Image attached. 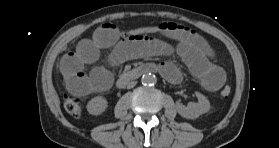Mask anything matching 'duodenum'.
Here are the masks:
<instances>
[{
	"instance_id": "410a0bca",
	"label": "duodenum",
	"mask_w": 279,
	"mask_h": 148,
	"mask_svg": "<svg viewBox=\"0 0 279 148\" xmlns=\"http://www.w3.org/2000/svg\"><path fill=\"white\" fill-rule=\"evenodd\" d=\"M156 72L155 64L153 63H145L142 64L126 73H123L116 81L117 88H123L129 82L139 79L142 75Z\"/></svg>"
}]
</instances>
